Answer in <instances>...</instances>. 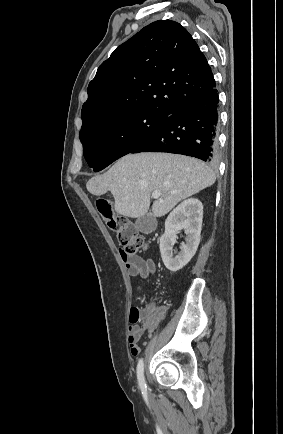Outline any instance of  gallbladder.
I'll list each match as a JSON object with an SVG mask.
<instances>
[{"mask_svg": "<svg viewBox=\"0 0 283 434\" xmlns=\"http://www.w3.org/2000/svg\"><path fill=\"white\" fill-rule=\"evenodd\" d=\"M135 226L138 231L144 234H150L156 229L157 222L152 215L146 214L142 217L137 218Z\"/></svg>", "mask_w": 283, "mask_h": 434, "instance_id": "1", "label": "gallbladder"}]
</instances>
